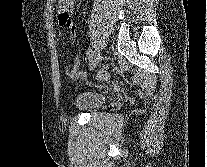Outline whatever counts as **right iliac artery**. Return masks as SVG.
<instances>
[{"mask_svg":"<svg viewBox=\"0 0 207 167\" xmlns=\"http://www.w3.org/2000/svg\"><path fill=\"white\" fill-rule=\"evenodd\" d=\"M93 53H94L93 50H92L91 48H89V49L87 50V53H86V54L88 55L89 58H91L92 55H93Z\"/></svg>","mask_w":207,"mask_h":167,"instance_id":"right-iliac-artery-1","label":"right iliac artery"}]
</instances>
